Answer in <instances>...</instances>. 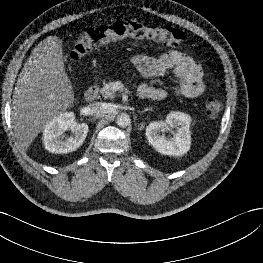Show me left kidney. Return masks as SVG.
<instances>
[{"instance_id":"5707ae66","label":"left kidney","mask_w":263,"mask_h":263,"mask_svg":"<svg viewBox=\"0 0 263 263\" xmlns=\"http://www.w3.org/2000/svg\"><path fill=\"white\" fill-rule=\"evenodd\" d=\"M191 117L182 112L169 113L165 121L150 123L146 128L148 142L161 154L170 156H180L186 154L190 149L191 135L189 126ZM167 127L175 128V137L166 140L160 135Z\"/></svg>"}]
</instances>
